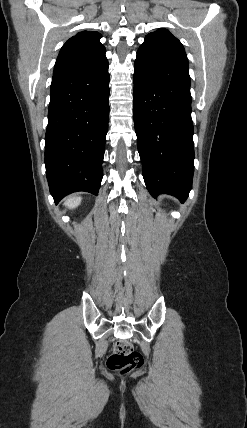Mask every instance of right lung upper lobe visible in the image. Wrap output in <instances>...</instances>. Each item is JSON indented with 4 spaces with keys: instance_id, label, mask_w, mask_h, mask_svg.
<instances>
[{
    "instance_id": "right-lung-upper-lobe-1",
    "label": "right lung upper lobe",
    "mask_w": 247,
    "mask_h": 428,
    "mask_svg": "<svg viewBox=\"0 0 247 428\" xmlns=\"http://www.w3.org/2000/svg\"><path fill=\"white\" fill-rule=\"evenodd\" d=\"M101 34L83 31L71 37L61 48L53 76L86 68L105 56Z\"/></svg>"
}]
</instances>
